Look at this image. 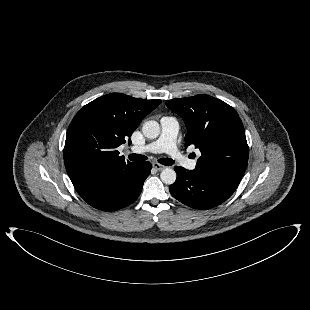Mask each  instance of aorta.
<instances>
[{
  "label": "aorta",
  "mask_w": 310,
  "mask_h": 310,
  "mask_svg": "<svg viewBox=\"0 0 310 310\" xmlns=\"http://www.w3.org/2000/svg\"><path fill=\"white\" fill-rule=\"evenodd\" d=\"M142 132L147 138H157L160 134V125L154 120L147 121L143 124ZM160 178L164 184L171 185L176 180V172L172 168H165L162 170Z\"/></svg>",
  "instance_id": "762f6f07"
}]
</instances>
